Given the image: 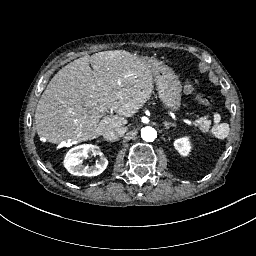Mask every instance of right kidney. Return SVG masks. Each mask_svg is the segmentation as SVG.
Here are the masks:
<instances>
[{"label": "right kidney", "instance_id": "obj_1", "mask_svg": "<svg viewBox=\"0 0 256 256\" xmlns=\"http://www.w3.org/2000/svg\"><path fill=\"white\" fill-rule=\"evenodd\" d=\"M98 147L94 145H81L72 148L65 157V168L73 175L96 176L101 174L108 166V160L102 156L101 160L93 166H84L82 159L88 155L100 154Z\"/></svg>", "mask_w": 256, "mask_h": 256}]
</instances>
